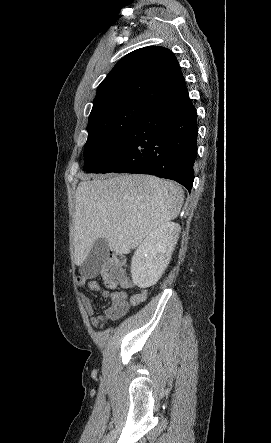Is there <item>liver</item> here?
I'll return each instance as SVG.
<instances>
[{"label":"liver","instance_id":"6515ba94","mask_svg":"<svg viewBox=\"0 0 271 443\" xmlns=\"http://www.w3.org/2000/svg\"><path fill=\"white\" fill-rule=\"evenodd\" d=\"M78 184L74 216V261L82 265L103 237L116 253H130L144 237L180 214L184 192L155 176L106 174Z\"/></svg>","mask_w":271,"mask_h":443}]
</instances>
